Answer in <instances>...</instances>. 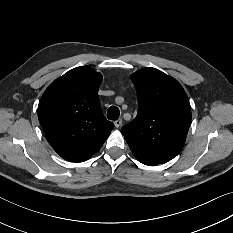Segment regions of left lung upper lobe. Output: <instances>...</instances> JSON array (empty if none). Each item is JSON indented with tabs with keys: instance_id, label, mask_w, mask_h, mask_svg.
I'll return each mask as SVG.
<instances>
[{
	"instance_id": "left-lung-upper-lobe-1",
	"label": "left lung upper lobe",
	"mask_w": 233,
	"mask_h": 233,
	"mask_svg": "<svg viewBox=\"0 0 233 233\" xmlns=\"http://www.w3.org/2000/svg\"><path fill=\"white\" fill-rule=\"evenodd\" d=\"M138 99L136 118L122 128L129 145L171 160L182 150L191 122L188 97L174 78L155 68L130 76Z\"/></svg>"
}]
</instances>
